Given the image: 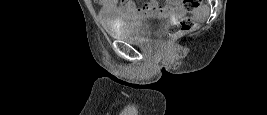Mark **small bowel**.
Masks as SVG:
<instances>
[{
  "label": "small bowel",
  "instance_id": "1",
  "mask_svg": "<svg viewBox=\"0 0 267 115\" xmlns=\"http://www.w3.org/2000/svg\"><path fill=\"white\" fill-rule=\"evenodd\" d=\"M103 10L117 9L121 15L129 20L139 18L144 14H160L165 16L178 15L182 11L179 1H168L165 5H160L155 1H150L143 6H139L135 1H116L101 0L99 1Z\"/></svg>",
  "mask_w": 267,
  "mask_h": 115
}]
</instances>
